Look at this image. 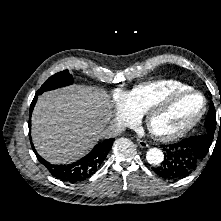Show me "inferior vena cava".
<instances>
[{
	"label": "inferior vena cava",
	"instance_id": "602c4592",
	"mask_svg": "<svg viewBox=\"0 0 221 221\" xmlns=\"http://www.w3.org/2000/svg\"><path fill=\"white\" fill-rule=\"evenodd\" d=\"M122 132H123L122 127L116 124H110L102 131L101 135L104 138H112L120 135Z\"/></svg>",
	"mask_w": 221,
	"mask_h": 221
}]
</instances>
